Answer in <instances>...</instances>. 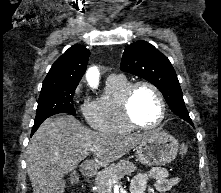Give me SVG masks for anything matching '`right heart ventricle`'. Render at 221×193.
I'll use <instances>...</instances> for the list:
<instances>
[{
	"label": "right heart ventricle",
	"instance_id": "obj_1",
	"mask_svg": "<svg viewBox=\"0 0 221 193\" xmlns=\"http://www.w3.org/2000/svg\"><path fill=\"white\" fill-rule=\"evenodd\" d=\"M129 81L124 76H111L104 94L84 106V116L94 129L111 134L129 133L133 130L125 120L121 99Z\"/></svg>",
	"mask_w": 221,
	"mask_h": 193
}]
</instances>
